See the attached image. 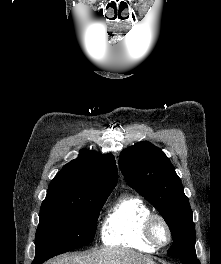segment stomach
Returning a JSON list of instances; mask_svg holds the SVG:
<instances>
[{
	"instance_id": "1",
	"label": "stomach",
	"mask_w": 221,
	"mask_h": 264,
	"mask_svg": "<svg viewBox=\"0 0 221 264\" xmlns=\"http://www.w3.org/2000/svg\"><path fill=\"white\" fill-rule=\"evenodd\" d=\"M146 264H157V263L153 261V262H151V263H146Z\"/></svg>"
}]
</instances>
